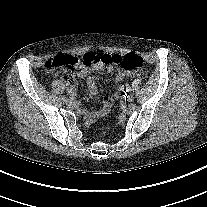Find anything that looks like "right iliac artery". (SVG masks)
<instances>
[{"label":"right iliac artery","instance_id":"right-iliac-artery-1","mask_svg":"<svg viewBox=\"0 0 207 207\" xmlns=\"http://www.w3.org/2000/svg\"><path fill=\"white\" fill-rule=\"evenodd\" d=\"M66 99H67V98H66L65 96H63V97H62V100H64V101H65Z\"/></svg>","mask_w":207,"mask_h":207}]
</instances>
